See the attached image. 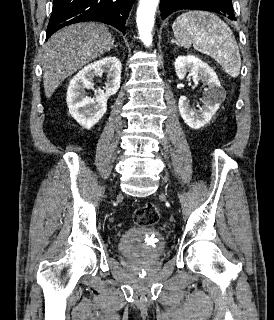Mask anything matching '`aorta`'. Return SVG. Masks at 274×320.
<instances>
[{
	"mask_svg": "<svg viewBox=\"0 0 274 320\" xmlns=\"http://www.w3.org/2000/svg\"><path fill=\"white\" fill-rule=\"evenodd\" d=\"M159 0H140L137 9L136 23L140 39L146 46L152 45V29L155 11Z\"/></svg>",
	"mask_w": 274,
	"mask_h": 320,
	"instance_id": "1",
	"label": "aorta"
}]
</instances>
